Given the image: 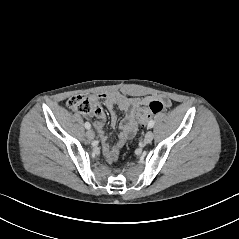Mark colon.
<instances>
[{
	"label": "colon",
	"mask_w": 239,
	"mask_h": 239,
	"mask_svg": "<svg viewBox=\"0 0 239 239\" xmlns=\"http://www.w3.org/2000/svg\"><path fill=\"white\" fill-rule=\"evenodd\" d=\"M67 105L71 110L82 114H89L94 110V104L85 95H75L70 97ZM163 108V103L158 100H152L148 102L146 105L140 107L137 111L139 123L144 125L152 115L160 113Z\"/></svg>",
	"instance_id": "colon-1"
}]
</instances>
